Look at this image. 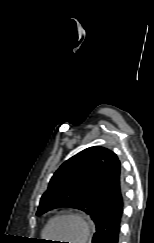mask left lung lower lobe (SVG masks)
<instances>
[{
  "mask_svg": "<svg viewBox=\"0 0 154 243\" xmlns=\"http://www.w3.org/2000/svg\"><path fill=\"white\" fill-rule=\"evenodd\" d=\"M89 193L101 209L92 243H118L124 209V179L117 156L111 151Z\"/></svg>",
  "mask_w": 154,
  "mask_h": 243,
  "instance_id": "1",
  "label": "left lung lower lobe"
}]
</instances>
